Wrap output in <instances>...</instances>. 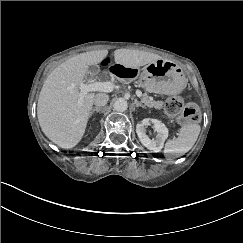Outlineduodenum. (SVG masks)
Masks as SVG:
<instances>
[{"instance_id":"obj_1","label":"duodenum","mask_w":243,"mask_h":243,"mask_svg":"<svg viewBox=\"0 0 243 243\" xmlns=\"http://www.w3.org/2000/svg\"><path fill=\"white\" fill-rule=\"evenodd\" d=\"M107 72L118 79H132L136 76L137 70L129 65L117 63L107 69Z\"/></svg>"}]
</instances>
